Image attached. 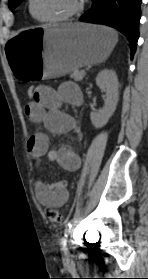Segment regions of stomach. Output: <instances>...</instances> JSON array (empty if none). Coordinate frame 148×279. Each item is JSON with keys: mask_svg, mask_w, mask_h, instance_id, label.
I'll use <instances>...</instances> for the list:
<instances>
[{"mask_svg": "<svg viewBox=\"0 0 148 279\" xmlns=\"http://www.w3.org/2000/svg\"><path fill=\"white\" fill-rule=\"evenodd\" d=\"M112 29L89 24L44 25L18 32L7 44L6 59L16 82H50L107 59L117 43Z\"/></svg>", "mask_w": 148, "mask_h": 279, "instance_id": "stomach-1", "label": "stomach"}]
</instances>
